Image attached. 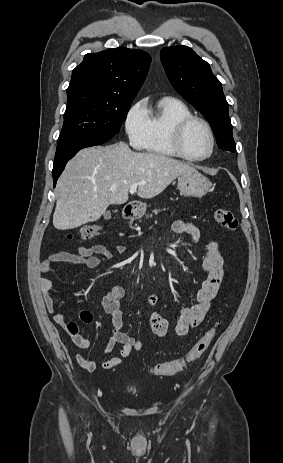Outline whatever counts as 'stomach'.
Listing matches in <instances>:
<instances>
[{
	"instance_id": "stomach-1",
	"label": "stomach",
	"mask_w": 283,
	"mask_h": 463,
	"mask_svg": "<svg viewBox=\"0 0 283 463\" xmlns=\"http://www.w3.org/2000/svg\"><path fill=\"white\" fill-rule=\"evenodd\" d=\"M211 182L207 177L198 171L191 172L178 177L177 187L181 194L191 197H202L210 189ZM146 211L145 203L134 205L132 214L134 217H141Z\"/></svg>"
}]
</instances>
